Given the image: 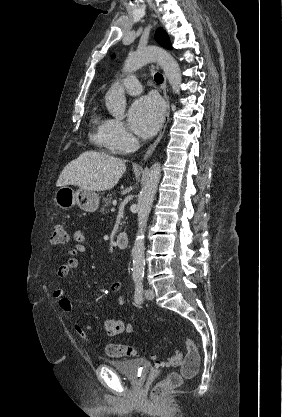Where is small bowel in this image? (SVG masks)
I'll return each instance as SVG.
<instances>
[{"mask_svg":"<svg viewBox=\"0 0 282 417\" xmlns=\"http://www.w3.org/2000/svg\"><path fill=\"white\" fill-rule=\"evenodd\" d=\"M88 238V232L86 229H79L74 233L75 244L72 250V255L68 257L65 263L60 265L57 269V275L60 278L66 277L71 270L75 269L79 265L77 255L85 252V242ZM123 290V283L121 281H114L110 286L111 293L119 294ZM52 297L57 300L59 307L64 312H70L72 310V303L67 298L66 291L63 288H56L52 292ZM118 303L123 305L125 299L123 295H119ZM73 330L79 336L81 340L89 343L87 338V331L92 329V326L83 324L80 320H74L72 322ZM104 334L108 337H114L122 333L130 334L132 332V326L129 323L124 322L121 319H108L103 322ZM113 344V343H111Z\"/></svg>","mask_w":282,"mask_h":417,"instance_id":"c3829d8e","label":"small bowel"}]
</instances>
